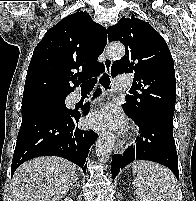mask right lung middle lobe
<instances>
[{"mask_svg": "<svg viewBox=\"0 0 196 201\" xmlns=\"http://www.w3.org/2000/svg\"><path fill=\"white\" fill-rule=\"evenodd\" d=\"M66 96L33 95L22 100V115L32 112H48L56 115L69 116L71 110L65 106Z\"/></svg>", "mask_w": 196, "mask_h": 201, "instance_id": "1", "label": "right lung middle lobe"}]
</instances>
